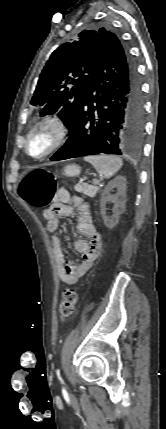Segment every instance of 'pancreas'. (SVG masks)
I'll return each mask as SVG.
<instances>
[{"label": "pancreas", "instance_id": "pancreas-1", "mask_svg": "<svg viewBox=\"0 0 166 429\" xmlns=\"http://www.w3.org/2000/svg\"><path fill=\"white\" fill-rule=\"evenodd\" d=\"M75 191L81 192L89 197H94L99 191V187L88 185V184H78L74 187Z\"/></svg>", "mask_w": 166, "mask_h": 429}]
</instances>
